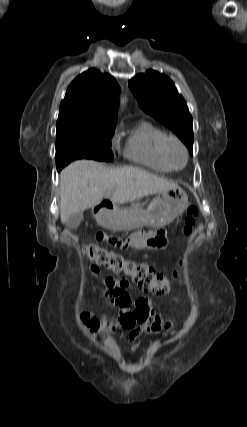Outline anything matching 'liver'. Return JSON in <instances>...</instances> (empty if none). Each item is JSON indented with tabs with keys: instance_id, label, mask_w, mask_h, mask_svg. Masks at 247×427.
<instances>
[{
	"instance_id": "1",
	"label": "liver",
	"mask_w": 247,
	"mask_h": 427,
	"mask_svg": "<svg viewBox=\"0 0 247 427\" xmlns=\"http://www.w3.org/2000/svg\"><path fill=\"white\" fill-rule=\"evenodd\" d=\"M176 187L177 184L141 168H109L93 160H77L60 174L61 222L99 205L104 197L122 204Z\"/></svg>"
}]
</instances>
